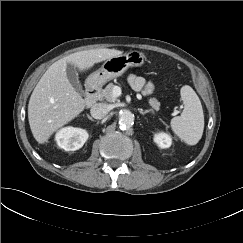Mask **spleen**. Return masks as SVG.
Returning a JSON list of instances; mask_svg holds the SVG:
<instances>
[{"instance_id":"spleen-1","label":"spleen","mask_w":243,"mask_h":243,"mask_svg":"<svg viewBox=\"0 0 243 243\" xmlns=\"http://www.w3.org/2000/svg\"><path fill=\"white\" fill-rule=\"evenodd\" d=\"M184 109L180 116L171 119L173 133L187 145H196L204 130V114L201 101L196 92L188 85L180 90Z\"/></svg>"}]
</instances>
